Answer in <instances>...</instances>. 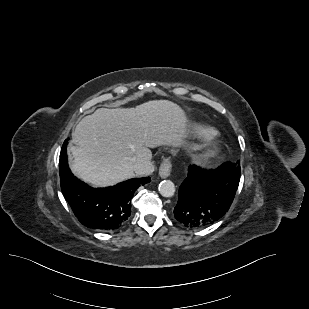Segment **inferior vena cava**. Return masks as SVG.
I'll use <instances>...</instances> for the list:
<instances>
[{
	"label": "inferior vena cava",
	"mask_w": 309,
	"mask_h": 309,
	"mask_svg": "<svg viewBox=\"0 0 309 309\" xmlns=\"http://www.w3.org/2000/svg\"><path fill=\"white\" fill-rule=\"evenodd\" d=\"M133 163H134V170L136 173H139L143 170V164L139 161H137L136 159H133Z\"/></svg>",
	"instance_id": "obj_1"
}]
</instances>
